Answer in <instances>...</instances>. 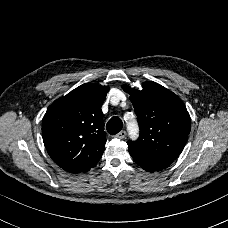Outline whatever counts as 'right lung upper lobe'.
<instances>
[{"label": "right lung upper lobe", "instance_id": "right-lung-upper-lobe-1", "mask_svg": "<svg viewBox=\"0 0 228 228\" xmlns=\"http://www.w3.org/2000/svg\"><path fill=\"white\" fill-rule=\"evenodd\" d=\"M108 86L85 83L54 101L42 120L44 145L70 173L86 172L102 157L106 138L101 106Z\"/></svg>", "mask_w": 228, "mask_h": 228}]
</instances>
